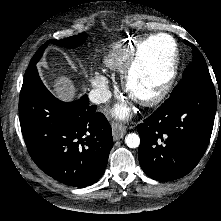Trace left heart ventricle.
I'll use <instances>...</instances> for the list:
<instances>
[{"instance_id":"b2bd125f","label":"left heart ventricle","mask_w":221,"mask_h":221,"mask_svg":"<svg viewBox=\"0 0 221 221\" xmlns=\"http://www.w3.org/2000/svg\"><path fill=\"white\" fill-rule=\"evenodd\" d=\"M171 51L172 43L166 37H156L146 45L134 75L133 89L136 93H141L144 87L164 79Z\"/></svg>"}]
</instances>
